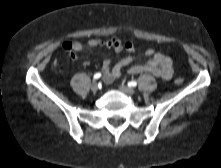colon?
<instances>
[{"label":"colon","mask_w":221,"mask_h":168,"mask_svg":"<svg viewBox=\"0 0 221 168\" xmlns=\"http://www.w3.org/2000/svg\"><path fill=\"white\" fill-rule=\"evenodd\" d=\"M123 38L124 39H129L130 38V33L129 32H124L123 33ZM175 83L176 84H182L183 83V79L181 77H178L175 79Z\"/></svg>","instance_id":"1"}]
</instances>
